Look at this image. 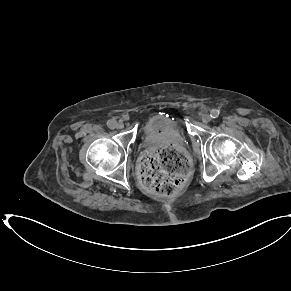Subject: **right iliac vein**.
Masks as SVG:
<instances>
[{
  "mask_svg": "<svg viewBox=\"0 0 291 291\" xmlns=\"http://www.w3.org/2000/svg\"><path fill=\"white\" fill-rule=\"evenodd\" d=\"M116 128L122 129V128H124V124L122 122H119L116 124Z\"/></svg>",
  "mask_w": 291,
  "mask_h": 291,
  "instance_id": "63e3f726",
  "label": "right iliac vein"
}]
</instances>
